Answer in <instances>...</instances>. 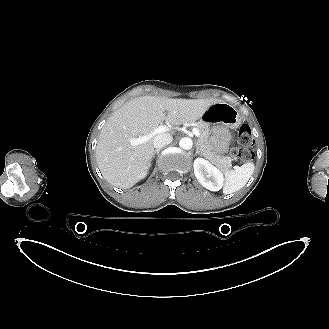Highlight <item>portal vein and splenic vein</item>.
<instances>
[{
    "label": "portal vein and splenic vein",
    "mask_w": 329,
    "mask_h": 329,
    "mask_svg": "<svg viewBox=\"0 0 329 329\" xmlns=\"http://www.w3.org/2000/svg\"><path fill=\"white\" fill-rule=\"evenodd\" d=\"M166 131H169V128L167 126H159L144 136H139L138 138L130 139L129 142L132 146L143 144V143L147 142L148 140H150L155 135L162 133V132H166ZM193 133L196 137H200V132L197 128L193 129Z\"/></svg>",
    "instance_id": "1"
}]
</instances>
